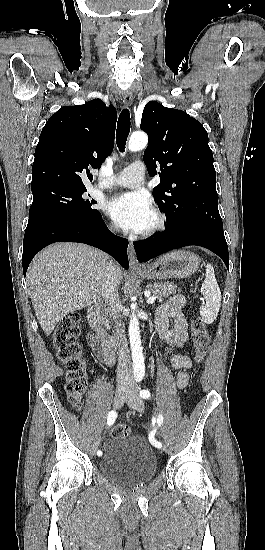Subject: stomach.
<instances>
[{
    "mask_svg": "<svg viewBox=\"0 0 265 550\" xmlns=\"http://www.w3.org/2000/svg\"><path fill=\"white\" fill-rule=\"evenodd\" d=\"M199 265L200 259L196 254L179 250L164 254L139 274L145 279H184L195 273Z\"/></svg>",
    "mask_w": 265,
    "mask_h": 550,
    "instance_id": "obj_1",
    "label": "stomach"
}]
</instances>
